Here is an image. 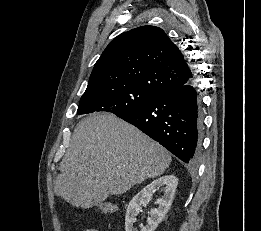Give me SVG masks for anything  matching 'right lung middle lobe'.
Instances as JSON below:
<instances>
[{"label": "right lung middle lobe", "mask_w": 261, "mask_h": 231, "mask_svg": "<svg viewBox=\"0 0 261 231\" xmlns=\"http://www.w3.org/2000/svg\"><path fill=\"white\" fill-rule=\"evenodd\" d=\"M156 97L153 93L135 86L85 93L80 99L77 113L106 111L120 116L143 107Z\"/></svg>", "instance_id": "obj_1"}]
</instances>
